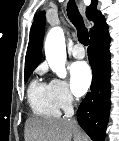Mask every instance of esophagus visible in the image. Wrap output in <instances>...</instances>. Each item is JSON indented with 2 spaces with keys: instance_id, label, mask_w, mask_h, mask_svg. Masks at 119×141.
Here are the masks:
<instances>
[{
  "instance_id": "esophagus-1",
  "label": "esophagus",
  "mask_w": 119,
  "mask_h": 141,
  "mask_svg": "<svg viewBox=\"0 0 119 141\" xmlns=\"http://www.w3.org/2000/svg\"><path fill=\"white\" fill-rule=\"evenodd\" d=\"M79 8H80L81 13H82L83 15H85V8H84V6H83V4H82L81 1H79Z\"/></svg>"
}]
</instances>
